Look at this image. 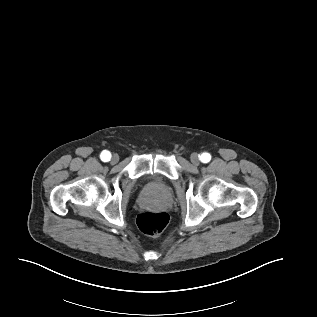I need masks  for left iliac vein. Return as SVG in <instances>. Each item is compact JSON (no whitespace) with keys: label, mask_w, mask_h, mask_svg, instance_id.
Masks as SVG:
<instances>
[{"label":"left iliac vein","mask_w":317,"mask_h":317,"mask_svg":"<svg viewBox=\"0 0 317 317\" xmlns=\"http://www.w3.org/2000/svg\"><path fill=\"white\" fill-rule=\"evenodd\" d=\"M190 159L193 165L198 166L200 164L199 155L197 153L191 154Z\"/></svg>","instance_id":"4c4485c4"}]
</instances>
